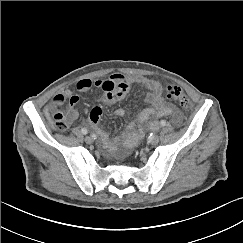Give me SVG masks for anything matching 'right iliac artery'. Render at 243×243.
Listing matches in <instances>:
<instances>
[{"mask_svg": "<svg viewBox=\"0 0 243 243\" xmlns=\"http://www.w3.org/2000/svg\"><path fill=\"white\" fill-rule=\"evenodd\" d=\"M81 132H82V134H84V135H86V134L88 133V131H87L86 128H82V129H81Z\"/></svg>", "mask_w": 243, "mask_h": 243, "instance_id": "1", "label": "right iliac artery"}]
</instances>
